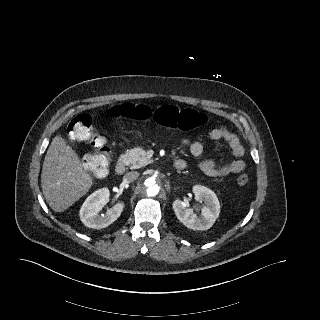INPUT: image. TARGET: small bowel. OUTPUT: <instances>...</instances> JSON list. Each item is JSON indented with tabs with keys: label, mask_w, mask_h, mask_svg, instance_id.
I'll return each instance as SVG.
<instances>
[{
	"label": "small bowel",
	"mask_w": 320,
	"mask_h": 320,
	"mask_svg": "<svg viewBox=\"0 0 320 320\" xmlns=\"http://www.w3.org/2000/svg\"><path fill=\"white\" fill-rule=\"evenodd\" d=\"M209 138L213 141H225L235 159L224 165H218L212 159L205 160L199 165V168L203 173L210 177L219 178L229 174L240 173L245 169L246 163L242 159L244 155V147L240 139L234 133L223 126H220L210 131ZM183 142L188 146L192 155L200 156L203 153V145L199 141H190L185 139Z\"/></svg>",
	"instance_id": "1"
}]
</instances>
